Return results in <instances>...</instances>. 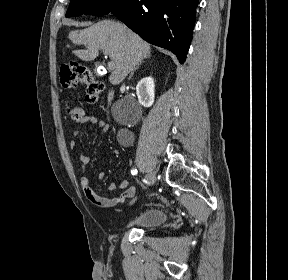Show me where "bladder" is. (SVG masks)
I'll return each mask as SVG.
<instances>
[{"instance_id":"31cf9c89","label":"bladder","mask_w":288,"mask_h":280,"mask_svg":"<svg viewBox=\"0 0 288 280\" xmlns=\"http://www.w3.org/2000/svg\"><path fill=\"white\" fill-rule=\"evenodd\" d=\"M167 220V213L163 209L151 208L141 212L134 219H132L128 226L149 228L161 225Z\"/></svg>"}]
</instances>
